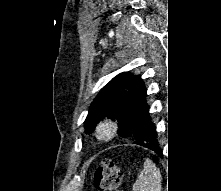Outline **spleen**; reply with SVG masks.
Returning a JSON list of instances; mask_svg holds the SVG:
<instances>
[{
  "mask_svg": "<svg viewBox=\"0 0 221 191\" xmlns=\"http://www.w3.org/2000/svg\"><path fill=\"white\" fill-rule=\"evenodd\" d=\"M161 182L162 176L159 168L151 160L147 159L133 185V191H161Z\"/></svg>",
  "mask_w": 221,
  "mask_h": 191,
  "instance_id": "obj_1",
  "label": "spleen"
}]
</instances>
